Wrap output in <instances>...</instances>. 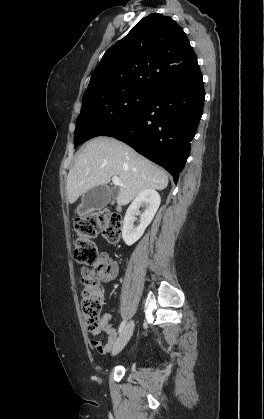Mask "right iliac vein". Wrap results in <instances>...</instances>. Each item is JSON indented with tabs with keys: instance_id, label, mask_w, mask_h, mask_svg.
<instances>
[{
	"instance_id": "1",
	"label": "right iliac vein",
	"mask_w": 264,
	"mask_h": 419,
	"mask_svg": "<svg viewBox=\"0 0 264 419\" xmlns=\"http://www.w3.org/2000/svg\"><path fill=\"white\" fill-rule=\"evenodd\" d=\"M133 329H134V322L133 321L128 322V324L123 329L122 333L120 334L119 338L117 339L113 347V350H112L113 355L118 354L125 347V345L127 344V342L132 336Z\"/></svg>"
}]
</instances>
